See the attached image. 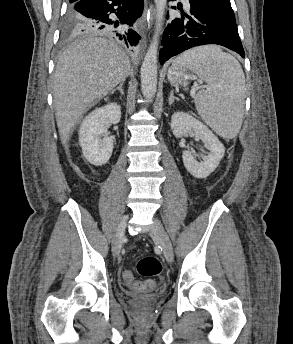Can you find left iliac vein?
<instances>
[{
	"mask_svg": "<svg viewBox=\"0 0 293 344\" xmlns=\"http://www.w3.org/2000/svg\"><path fill=\"white\" fill-rule=\"evenodd\" d=\"M152 238L157 239L162 247L166 260L171 263L173 261V247L170 238L158 219H154L153 225L149 230Z\"/></svg>",
	"mask_w": 293,
	"mask_h": 344,
	"instance_id": "obj_1",
	"label": "left iliac vein"
}]
</instances>
